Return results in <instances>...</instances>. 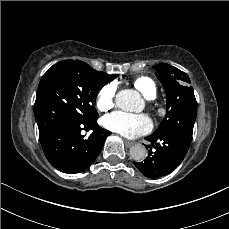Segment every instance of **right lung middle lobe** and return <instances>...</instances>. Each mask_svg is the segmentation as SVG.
Listing matches in <instances>:
<instances>
[{
  "label": "right lung middle lobe",
  "mask_w": 229,
  "mask_h": 229,
  "mask_svg": "<svg viewBox=\"0 0 229 229\" xmlns=\"http://www.w3.org/2000/svg\"><path fill=\"white\" fill-rule=\"evenodd\" d=\"M102 84L83 66L70 61L53 65L41 78L34 104L40 139L61 122H96L94 108Z\"/></svg>",
  "instance_id": "obj_1"
}]
</instances>
